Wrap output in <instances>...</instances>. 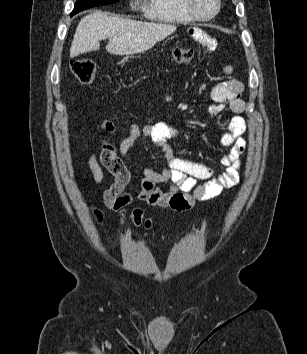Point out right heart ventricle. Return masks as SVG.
I'll list each match as a JSON object with an SVG mask.
<instances>
[{
    "instance_id": "right-heart-ventricle-1",
    "label": "right heart ventricle",
    "mask_w": 307,
    "mask_h": 354,
    "mask_svg": "<svg viewBox=\"0 0 307 354\" xmlns=\"http://www.w3.org/2000/svg\"><path fill=\"white\" fill-rule=\"evenodd\" d=\"M143 11L158 22L185 24L194 20L185 12L182 0H145Z\"/></svg>"
}]
</instances>
